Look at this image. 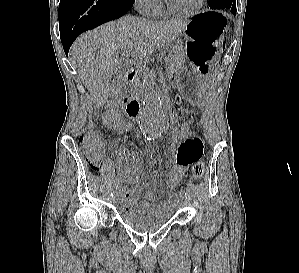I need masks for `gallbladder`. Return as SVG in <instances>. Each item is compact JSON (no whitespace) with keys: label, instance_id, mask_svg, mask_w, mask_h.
I'll list each match as a JSON object with an SVG mask.
<instances>
[{"label":"gallbladder","instance_id":"obj_1","mask_svg":"<svg viewBox=\"0 0 299 273\" xmlns=\"http://www.w3.org/2000/svg\"><path fill=\"white\" fill-rule=\"evenodd\" d=\"M130 70V65L126 61H119V65L114 72L112 79V87L115 88L111 92V97L121 96L125 86V75Z\"/></svg>","mask_w":299,"mask_h":273}]
</instances>
